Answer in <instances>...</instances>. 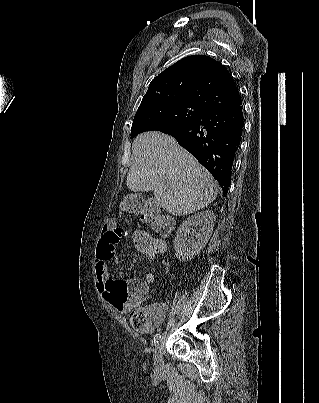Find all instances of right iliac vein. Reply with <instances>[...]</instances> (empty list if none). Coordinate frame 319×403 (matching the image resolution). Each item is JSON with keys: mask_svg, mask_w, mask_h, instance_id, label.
<instances>
[{"mask_svg": "<svg viewBox=\"0 0 319 403\" xmlns=\"http://www.w3.org/2000/svg\"><path fill=\"white\" fill-rule=\"evenodd\" d=\"M154 366L157 372L162 370L163 360H162V347L161 344H157L154 349Z\"/></svg>", "mask_w": 319, "mask_h": 403, "instance_id": "obj_1", "label": "right iliac vein"}]
</instances>
